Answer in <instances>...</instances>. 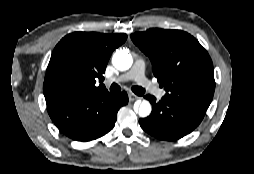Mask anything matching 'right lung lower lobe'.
Instances as JSON below:
<instances>
[{
	"instance_id": "1",
	"label": "right lung lower lobe",
	"mask_w": 254,
	"mask_h": 174,
	"mask_svg": "<svg viewBox=\"0 0 254 174\" xmlns=\"http://www.w3.org/2000/svg\"><path fill=\"white\" fill-rule=\"evenodd\" d=\"M127 103L126 92H76L47 104V111L62 133L85 142L108 133L115 125L118 110Z\"/></svg>"
}]
</instances>
